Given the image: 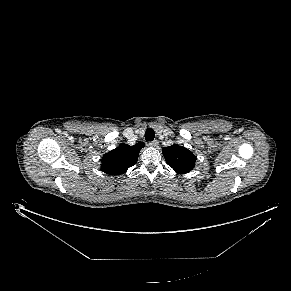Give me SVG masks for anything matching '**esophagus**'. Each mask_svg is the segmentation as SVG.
<instances>
[{
	"instance_id": "34e87169",
	"label": "esophagus",
	"mask_w": 291,
	"mask_h": 291,
	"mask_svg": "<svg viewBox=\"0 0 291 291\" xmlns=\"http://www.w3.org/2000/svg\"><path fill=\"white\" fill-rule=\"evenodd\" d=\"M149 145L152 147H157L159 145V142H158V140H154V141L150 142Z\"/></svg>"
}]
</instances>
